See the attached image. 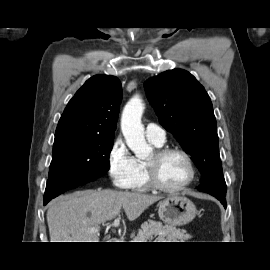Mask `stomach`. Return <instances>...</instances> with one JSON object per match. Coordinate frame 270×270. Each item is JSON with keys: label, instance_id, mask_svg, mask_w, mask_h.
<instances>
[{"label": "stomach", "instance_id": "1", "mask_svg": "<svg viewBox=\"0 0 270 270\" xmlns=\"http://www.w3.org/2000/svg\"><path fill=\"white\" fill-rule=\"evenodd\" d=\"M159 217L171 226H184L196 216L197 210L192 201L180 195H170L159 202Z\"/></svg>", "mask_w": 270, "mask_h": 270}]
</instances>
